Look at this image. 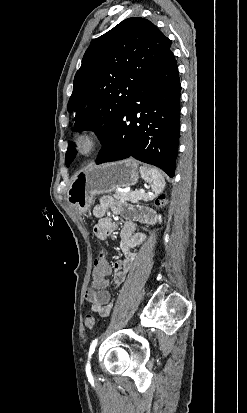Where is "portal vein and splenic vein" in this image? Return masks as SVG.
I'll use <instances>...</instances> for the list:
<instances>
[{"mask_svg": "<svg viewBox=\"0 0 247 413\" xmlns=\"http://www.w3.org/2000/svg\"><path fill=\"white\" fill-rule=\"evenodd\" d=\"M141 192H144V188H140Z\"/></svg>", "mask_w": 247, "mask_h": 413, "instance_id": "obj_1", "label": "portal vein and splenic vein"}]
</instances>
